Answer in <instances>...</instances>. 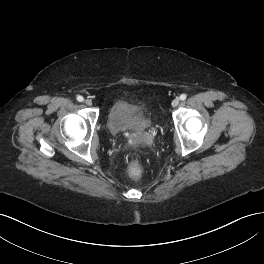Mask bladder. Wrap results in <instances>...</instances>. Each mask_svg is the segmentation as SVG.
I'll use <instances>...</instances> for the list:
<instances>
[{
  "label": "bladder",
  "mask_w": 264,
  "mask_h": 264,
  "mask_svg": "<svg viewBox=\"0 0 264 264\" xmlns=\"http://www.w3.org/2000/svg\"><path fill=\"white\" fill-rule=\"evenodd\" d=\"M106 121L112 133L145 130L151 125L150 117L139 105L123 99L117 100L109 107Z\"/></svg>",
  "instance_id": "1"
}]
</instances>
